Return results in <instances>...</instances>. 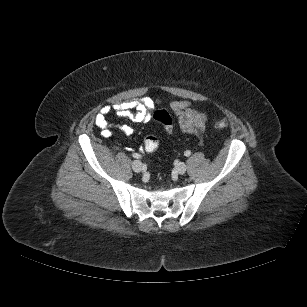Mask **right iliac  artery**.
I'll use <instances>...</instances> for the list:
<instances>
[{
  "instance_id": "1",
  "label": "right iliac artery",
  "mask_w": 307,
  "mask_h": 307,
  "mask_svg": "<svg viewBox=\"0 0 307 307\" xmlns=\"http://www.w3.org/2000/svg\"><path fill=\"white\" fill-rule=\"evenodd\" d=\"M133 157L138 159V158H141V155H139V154H137V153H134V154H133Z\"/></svg>"
}]
</instances>
